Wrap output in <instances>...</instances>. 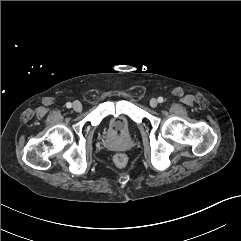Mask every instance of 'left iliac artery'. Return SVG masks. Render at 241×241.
<instances>
[{"mask_svg": "<svg viewBox=\"0 0 241 241\" xmlns=\"http://www.w3.org/2000/svg\"><path fill=\"white\" fill-rule=\"evenodd\" d=\"M163 101H164L163 97H159V98H158V102H159V103H162Z\"/></svg>", "mask_w": 241, "mask_h": 241, "instance_id": "1", "label": "left iliac artery"}]
</instances>
